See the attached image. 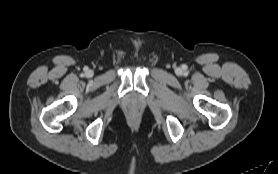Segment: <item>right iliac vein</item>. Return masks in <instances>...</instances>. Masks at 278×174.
Instances as JSON below:
<instances>
[{"label":"right iliac vein","instance_id":"1","mask_svg":"<svg viewBox=\"0 0 278 174\" xmlns=\"http://www.w3.org/2000/svg\"><path fill=\"white\" fill-rule=\"evenodd\" d=\"M87 75H88V76H92V75H93V72H92V71H88V72H87Z\"/></svg>","mask_w":278,"mask_h":174}]
</instances>
